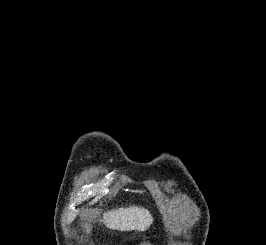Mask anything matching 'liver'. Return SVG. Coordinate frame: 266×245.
Here are the masks:
<instances>
[{
  "mask_svg": "<svg viewBox=\"0 0 266 245\" xmlns=\"http://www.w3.org/2000/svg\"><path fill=\"white\" fill-rule=\"evenodd\" d=\"M102 223L112 231H142L143 233L151 227L153 217L143 207H128V209L121 207V209L104 213Z\"/></svg>",
  "mask_w": 266,
  "mask_h": 245,
  "instance_id": "liver-1",
  "label": "liver"
}]
</instances>
